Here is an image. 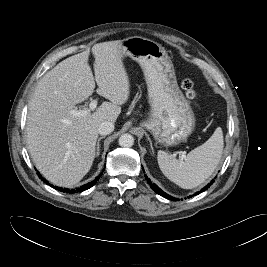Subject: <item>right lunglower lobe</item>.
<instances>
[{
  "mask_svg": "<svg viewBox=\"0 0 267 267\" xmlns=\"http://www.w3.org/2000/svg\"><path fill=\"white\" fill-rule=\"evenodd\" d=\"M37 174L39 175V173H37ZM101 175H102V173L99 176H97L94 181H91L90 183H87V184L81 186L80 188H76L74 190H70V189H66V188L62 189L60 187H56L53 185H50V186L55 188V189H58L59 191H63V192H67V193L82 192L84 190L91 188L99 180ZM39 177L43 180V178L40 175H39ZM44 182H46V180H44ZM47 184H49V183H47Z\"/></svg>",
  "mask_w": 267,
  "mask_h": 267,
  "instance_id": "right-lung-lower-lobe-1",
  "label": "right lung lower lobe"
}]
</instances>
